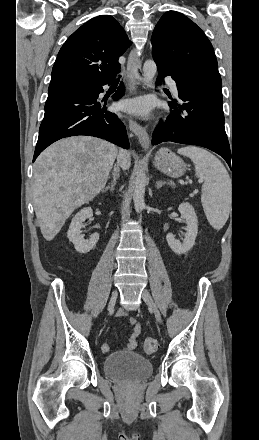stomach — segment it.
Segmentation results:
<instances>
[{"label": "stomach", "instance_id": "obj_1", "mask_svg": "<svg viewBox=\"0 0 259 440\" xmlns=\"http://www.w3.org/2000/svg\"><path fill=\"white\" fill-rule=\"evenodd\" d=\"M154 166L162 173L173 177H181L186 171L184 161L167 148H161L155 155Z\"/></svg>", "mask_w": 259, "mask_h": 440}]
</instances>
